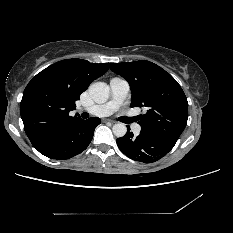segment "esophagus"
I'll list each match as a JSON object with an SVG mask.
<instances>
[{
    "instance_id": "1",
    "label": "esophagus",
    "mask_w": 233,
    "mask_h": 233,
    "mask_svg": "<svg viewBox=\"0 0 233 233\" xmlns=\"http://www.w3.org/2000/svg\"><path fill=\"white\" fill-rule=\"evenodd\" d=\"M105 122H110V123H112V124L115 123V121H113V120H111V119H106Z\"/></svg>"
}]
</instances>
